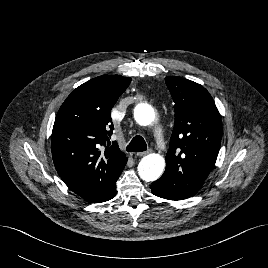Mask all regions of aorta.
Returning a JSON list of instances; mask_svg holds the SVG:
<instances>
[{"label":"aorta","mask_w":268,"mask_h":268,"mask_svg":"<svg viewBox=\"0 0 268 268\" xmlns=\"http://www.w3.org/2000/svg\"><path fill=\"white\" fill-rule=\"evenodd\" d=\"M134 118L138 124L148 126L156 121V113L151 105L142 103L135 108ZM164 169V158L155 153L143 157L138 164V174L144 181L157 180Z\"/></svg>","instance_id":"1"}]
</instances>
